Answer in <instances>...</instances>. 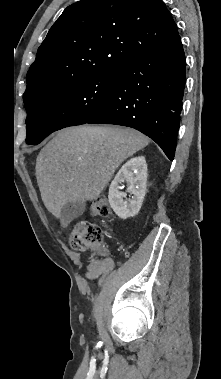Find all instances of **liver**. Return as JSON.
<instances>
[{
  "instance_id": "1",
  "label": "liver",
  "mask_w": 221,
  "mask_h": 379,
  "mask_svg": "<svg viewBox=\"0 0 221 379\" xmlns=\"http://www.w3.org/2000/svg\"><path fill=\"white\" fill-rule=\"evenodd\" d=\"M149 142L137 130L116 126L59 131L36 159V178L45 207L60 218L68 202L96 199L120 164Z\"/></svg>"
}]
</instances>
